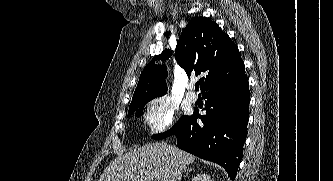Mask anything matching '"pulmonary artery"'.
Listing matches in <instances>:
<instances>
[{
	"label": "pulmonary artery",
	"mask_w": 333,
	"mask_h": 181,
	"mask_svg": "<svg viewBox=\"0 0 333 181\" xmlns=\"http://www.w3.org/2000/svg\"><path fill=\"white\" fill-rule=\"evenodd\" d=\"M186 98H187V100H188L189 102H192V103H194V102L197 101V95H196L194 92H192V91H189V92L186 94Z\"/></svg>",
	"instance_id": "obj_1"
}]
</instances>
